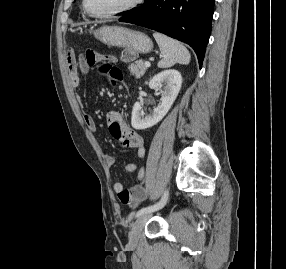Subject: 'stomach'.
I'll return each mask as SVG.
<instances>
[{
	"label": "stomach",
	"instance_id": "1",
	"mask_svg": "<svg viewBox=\"0 0 286 269\" xmlns=\"http://www.w3.org/2000/svg\"><path fill=\"white\" fill-rule=\"evenodd\" d=\"M94 36L111 47L137 49V54H146L153 49V43L147 35L125 27L103 26L94 31Z\"/></svg>",
	"mask_w": 286,
	"mask_h": 269
}]
</instances>
